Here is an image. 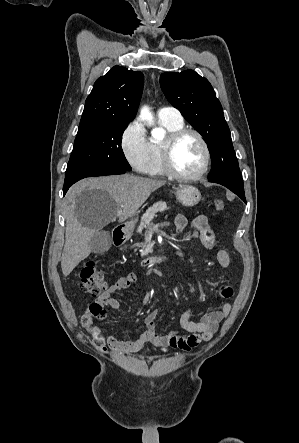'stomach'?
<instances>
[{"label": "stomach", "instance_id": "0dacf381", "mask_svg": "<svg viewBox=\"0 0 299 443\" xmlns=\"http://www.w3.org/2000/svg\"><path fill=\"white\" fill-rule=\"evenodd\" d=\"M176 199L186 207H192L198 204L201 200V193L200 191L192 185H181L177 188L176 192ZM137 220L131 221L126 225V238L128 239L133 231L134 225Z\"/></svg>", "mask_w": 299, "mask_h": 443}]
</instances>
